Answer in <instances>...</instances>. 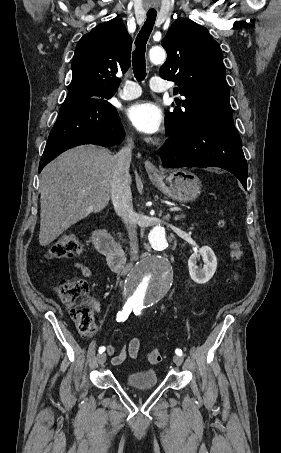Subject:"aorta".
<instances>
[{"instance_id": "1", "label": "aorta", "mask_w": 281, "mask_h": 453, "mask_svg": "<svg viewBox=\"0 0 281 453\" xmlns=\"http://www.w3.org/2000/svg\"><path fill=\"white\" fill-rule=\"evenodd\" d=\"M154 64H162L166 60V52L154 47L149 52ZM149 241L155 250L162 251L169 247L165 229L154 227L149 233ZM173 281V271L167 260L160 256L144 259L129 274L126 284L129 301L132 304H153L162 299L169 291Z\"/></svg>"}]
</instances>
